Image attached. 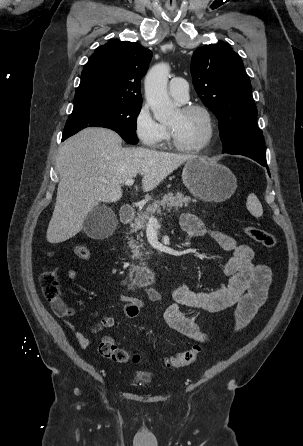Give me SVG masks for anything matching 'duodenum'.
Instances as JSON below:
<instances>
[{"label":"duodenum","instance_id":"1","mask_svg":"<svg viewBox=\"0 0 303 446\" xmlns=\"http://www.w3.org/2000/svg\"><path fill=\"white\" fill-rule=\"evenodd\" d=\"M135 212L131 207H123L120 212V220L124 224H129L133 221ZM134 279L138 283H149L152 280L153 273L150 269L146 267H137L134 272Z\"/></svg>","mask_w":303,"mask_h":446}]
</instances>
